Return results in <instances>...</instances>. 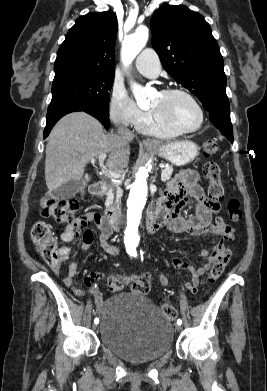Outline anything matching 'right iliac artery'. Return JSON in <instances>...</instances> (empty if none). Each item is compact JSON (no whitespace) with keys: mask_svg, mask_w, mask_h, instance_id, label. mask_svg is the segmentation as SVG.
<instances>
[{"mask_svg":"<svg viewBox=\"0 0 267 391\" xmlns=\"http://www.w3.org/2000/svg\"><path fill=\"white\" fill-rule=\"evenodd\" d=\"M98 322H99V320L96 318V319L94 320V323L97 324Z\"/></svg>","mask_w":267,"mask_h":391,"instance_id":"right-iliac-artery-1","label":"right iliac artery"}]
</instances>
